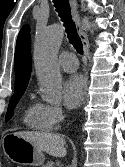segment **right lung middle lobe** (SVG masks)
Masks as SVG:
<instances>
[{
	"instance_id": "right-lung-middle-lobe-1",
	"label": "right lung middle lobe",
	"mask_w": 125,
	"mask_h": 167,
	"mask_svg": "<svg viewBox=\"0 0 125 167\" xmlns=\"http://www.w3.org/2000/svg\"><path fill=\"white\" fill-rule=\"evenodd\" d=\"M24 91H25V88L15 90V92H14V94H13V96H12L10 102H9V105H8V110H7V113H6L5 121H8L9 119L12 118L13 110L16 107V104L18 103L20 98L22 97Z\"/></svg>"
}]
</instances>
